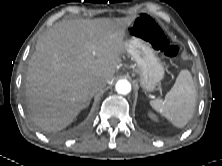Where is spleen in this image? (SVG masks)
<instances>
[{"instance_id": "spleen-1", "label": "spleen", "mask_w": 222, "mask_h": 166, "mask_svg": "<svg viewBox=\"0 0 222 166\" xmlns=\"http://www.w3.org/2000/svg\"><path fill=\"white\" fill-rule=\"evenodd\" d=\"M150 105L174 126L184 127L192 118L196 105V89L191 73L181 70L164 100H151Z\"/></svg>"}]
</instances>
